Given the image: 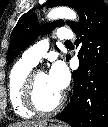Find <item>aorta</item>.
<instances>
[{"mask_svg":"<svg viewBox=\"0 0 108 127\" xmlns=\"http://www.w3.org/2000/svg\"><path fill=\"white\" fill-rule=\"evenodd\" d=\"M47 18L49 20L66 19L77 21L78 15L73 9L65 6H60L51 9L47 15Z\"/></svg>","mask_w":108,"mask_h":127,"instance_id":"762f6f07","label":"aorta"}]
</instances>
